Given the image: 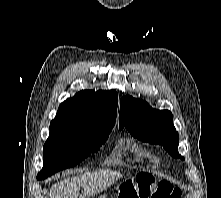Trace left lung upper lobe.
Masks as SVG:
<instances>
[{
	"instance_id": "obj_1",
	"label": "left lung upper lobe",
	"mask_w": 221,
	"mask_h": 198,
	"mask_svg": "<svg viewBox=\"0 0 221 198\" xmlns=\"http://www.w3.org/2000/svg\"><path fill=\"white\" fill-rule=\"evenodd\" d=\"M125 127L135 138L164 147L168 153L184 159L178 152L179 136L168 110H157L143 100L123 96L120 104L119 129Z\"/></svg>"
}]
</instances>
